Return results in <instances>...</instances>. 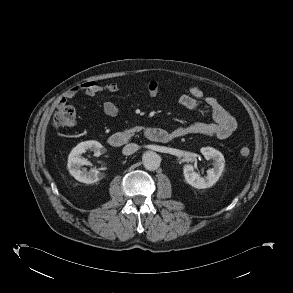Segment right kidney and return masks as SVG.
<instances>
[{"mask_svg":"<svg viewBox=\"0 0 293 293\" xmlns=\"http://www.w3.org/2000/svg\"><path fill=\"white\" fill-rule=\"evenodd\" d=\"M87 150L94 152L99 157L104 152L102 144L95 140L84 141L75 146L69 154L67 168L69 173L79 182L86 184H94L101 180L104 175L96 169L89 171L81 170V166L87 164V159L82 154Z\"/></svg>","mask_w":293,"mask_h":293,"instance_id":"ca27d5eb","label":"right kidney"}]
</instances>
